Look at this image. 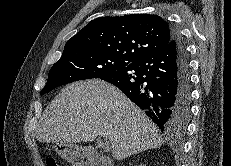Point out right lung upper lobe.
I'll use <instances>...</instances> for the list:
<instances>
[{"label":"right lung upper lobe","instance_id":"obj_1","mask_svg":"<svg viewBox=\"0 0 231 166\" xmlns=\"http://www.w3.org/2000/svg\"><path fill=\"white\" fill-rule=\"evenodd\" d=\"M171 39L172 28L158 15L100 17L67 41L62 56L92 51L133 62L162 50Z\"/></svg>","mask_w":231,"mask_h":166}]
</instances>
